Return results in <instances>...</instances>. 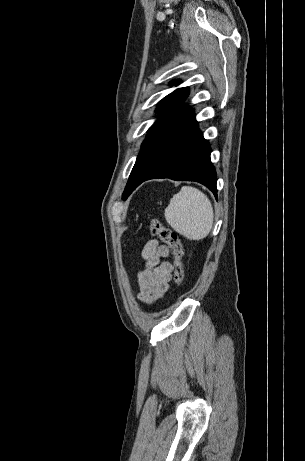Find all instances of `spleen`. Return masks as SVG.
<instances>
[{
    "label": "spleen",
    "mask_w": 305,
    "mask_h": 461,
    "mask_svg": "<svg viewBox=\"0 0 305 461\" xmlns=\"http://www.w3.org/2000/svg\"><path fill=\"white\" fill-rule=\"evenodd\" d=\"M167 223L190 240H201L211 231L214 212L209 198L197 188L183 186L165 209Z\"/></svg>",
    "instance_id": "obj_1"
}]
</instances>
